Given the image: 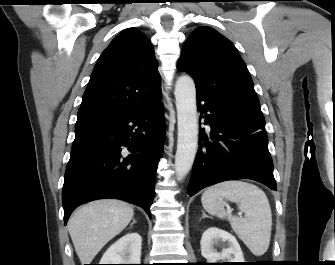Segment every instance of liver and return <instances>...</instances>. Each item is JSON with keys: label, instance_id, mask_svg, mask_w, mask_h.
I'll return each instance as SVG.
<instances>
[{"label": "liver", "instance_id": "6515ba94", "mask_svg": "<svg viewBox=\"0 0 335 265\" xmlns=\"http://www.w3.org/2000/svg\"><path fill=\"white\" fill-rule=\"evenodd\" d=\"M133 216L132 206L115 199L96 200L79 208L68 221V231L81 264H90Z\"/></svg>", "mask_w": 335, "mask_h": 265}]
</instances>
